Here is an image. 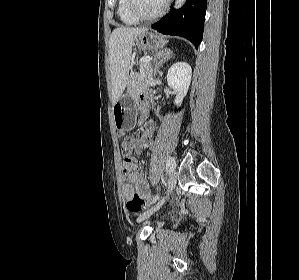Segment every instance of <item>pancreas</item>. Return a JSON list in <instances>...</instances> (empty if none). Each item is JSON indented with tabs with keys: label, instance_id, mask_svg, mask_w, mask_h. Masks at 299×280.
I'll list each match as a JSON object with an SVG mask.
<instances>
[{
	"label": "pancreas",
	"instance_id": "obj_1",
	"mask_svg": "<svg viewBox=\"0 0 299 280\" xmlns=\"http://www.w3.org/2000/svg\"><path fill=\"white\" fill-rule=\"evenodd\" d=\"M153 76V65L150 62L141 64L140 73L133 74L128 85L130 93H136L139 89L147 86L149 79Z\"/></svg>",
	"mask_w": 299,
	"mask_h": 280
}]
</instances>
